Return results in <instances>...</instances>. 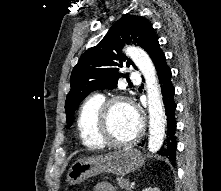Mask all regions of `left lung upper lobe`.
Segmentation results:
<instances>
[{
    "mask_svg": "<svg viewBox=\"0 0 221 191\" xmlns=\"http://www.w3.org/2000/svg\"><path fill=\"white\" fill-rule=\"evenodd\" d=\"M154 29L148 20L138 16H125L119 19L101 42L87 50L74 67L71 74V90L65 102L67 126L70 127L75 110L81 101L92 91L117 88L120 68L134 66L121 48L134 44L148 52L156 39Z\"/></svg>",
    "mask_w": 221,
    "mask_h": 191,
    "instance_id": "obj_1",
    "label": "left lung upper lobe"
}]
</instances>
